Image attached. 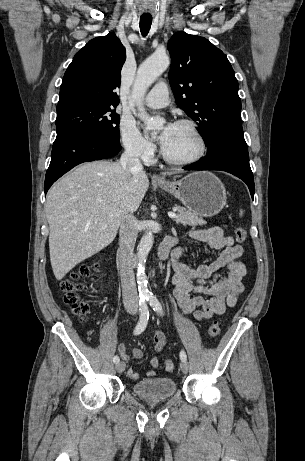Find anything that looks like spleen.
I'll use <instances>...</instances> for the list:
<instances>
[{
  "label": "spleen",
  "mask_w": 305,
  "mask_h": 461,
  "mask_svg": "<svg viewBox=\"0 0 305 461\" xmlns=\"http://www.w3.org/2000/svg\"><path fill=\"white\" fill-rule=\"evenodd\" d=\"M242 215H243V211H242V210H240V216H242Z\"/></svg>",
  "instance_id": "3e777b00"
}]
</instances>
